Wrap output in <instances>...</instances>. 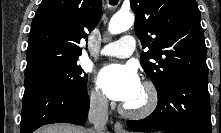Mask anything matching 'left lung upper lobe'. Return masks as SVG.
Listing matches in <instances>:
<instances>
[{"instance_id": "left-lung-upper-lobe-1", "label": "left lung upper lobe", "mask_w": 221, "mask_h": 133, "mask_svg": "<svg viewBox=\"0 0 221 133\" xmlns=\"http://www.w3.org/2000/svg\"><path fill=\"white\" fill-rule=\"evenodd\" d=\"M131 9L136 15L135 34L148 48L141 65L158 92L183 74L208 76L195 0H131Z\"/></svg>"}]
</instances>
